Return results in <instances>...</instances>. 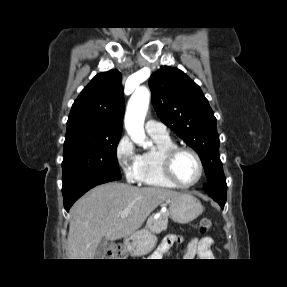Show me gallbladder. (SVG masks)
Instances as JSON below:
<instances>
[{
    "mask_svg": "<svg viewBox=\"0 0 287 287\" xmlns=\"http://www.w3.org/2000/svg\"><path fill=\"white\" fill-rule=\"evenodd\" d=\"M107 245H108V240L106 238H103L95 250L96 259H102L105 256Z\"/></svg>",
    "mask_w": 287,
    "mask_h": 287,
    "instance_id": "bac80fb5",
    "label": "gallbladder"
}]
</instances>
